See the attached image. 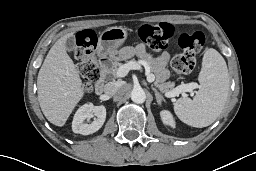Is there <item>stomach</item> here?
Returning a JSON list of instances; mask_svg holds the SVG:
<instances>
[{
  "mask_svg": "<svg viewBox=\"0 0 256 171\" xmlns=\"http://www.w3.org/2000/svg\"><path fill=\"white\" fill-rule=\"evenodd\" d=\"M128 31L125 27H110L104 30L99 38L97 53L100 57L110 56L120 59L122 56L118 49L127 39Z\"/></svg>",
  "mask_w": 256,
  "mask_h": 171,
  "instance_id": "stomach-1",
  "label": "stomach"
}]
</instances>
